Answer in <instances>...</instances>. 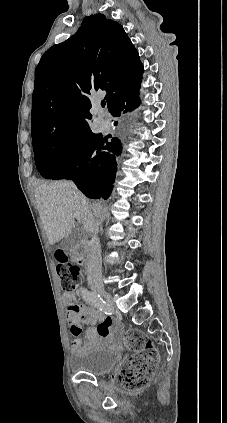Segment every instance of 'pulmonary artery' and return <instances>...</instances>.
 Segmentation results:
<instances>
[{"instance_id": "1", "label": "pulmonary artery", "mask_w": 227, "mask_h": 423, "mask_svg": "<svg viewBox=\"0 0 227 423\" xmlns=\"http://www.w3.org/2000/svg\"><path fill=\"white\" fill-rule=\"evenodd\" d=\"M99 111H101V109L100 108H98L97 110H96V112H99ZM109 125H110V123H109V121L108 120H106V119H100V120H98L97 121V126L99 127V129H101V130H106L108 127H109Z\"/></svg>"}]
</instances>
